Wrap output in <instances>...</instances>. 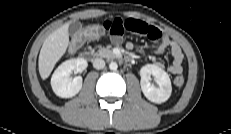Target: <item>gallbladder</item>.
<instances>
[{"label": "gallbladder", "instance_id": "bac80fb5", "mask_svg": "<svg viewBox=\"0 0 231 134\" xmlns=\"http://www.w3.org/2000/svg\"><path fill=\"white\" fill-rule=\"evenodd\" d=\"M80 28H81V23L78 21H73L70 23L68 30L70 34L74 35L80 30Z\"/></svg>", "mask_w": 231, "mask_h": 134}]
</instances>
